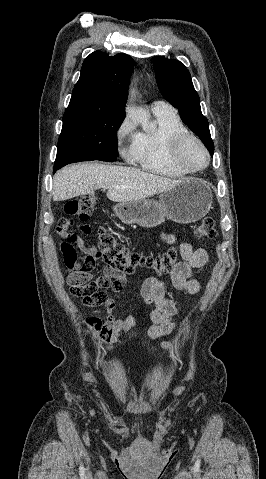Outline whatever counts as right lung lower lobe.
Returning a JSON list of instances; mask_svg holds the SVG:
<instances>
[{
	"label": "right lung lower lobe",
	"instance_id": "right-lung-lower-lobe-1",
	"mask_svg": "<svg viewBox=\"0 0 266 479\" xmlns=\"http://www.w3.org/2000/svg\"><path fill=\"white\" fill-rule=\"evenodd\" d=\"M65 166L64 164H55L54 165V169H53V172H56L58 169H60L61 167Z\"/></svg>",
	"mask_w": 266,
	"mask_h": 479
}]
</instances>
